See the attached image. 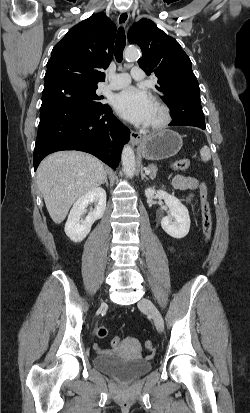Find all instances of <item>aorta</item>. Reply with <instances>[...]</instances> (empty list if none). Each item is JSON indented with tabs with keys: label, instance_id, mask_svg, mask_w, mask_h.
Segmentation results:
<instances>
[{
	"label": "aorta",
	"instance_id": "aorta-1",
	"mask_svg": "<svg viewBox=\"0 0 250 413\" xmlns=\"http://www.w3.org/2000/svg\"><path fill=\"white\" fill-rule=\"evenodd\" d=\"M124 57L127 61H135L140 57V52L137 48L130 47L125 50ZM121 160L125 174L132 178L135 173V155L130 146L123 148Z\"/></svg>",
	"mask_w": 250,
	"mask_h": 413
}]
</instances>
